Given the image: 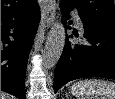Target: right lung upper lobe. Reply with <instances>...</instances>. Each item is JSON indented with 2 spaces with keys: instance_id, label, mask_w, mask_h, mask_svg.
I'll use <instances>...</instances> for the list:
<instances>
[{
  "instance_id": "right-lung-upper-lobe-1",
  "label": "right lung upper lobe",
  "mask_w": 115,
  "mask_h": 99,
  "mask_svg": "<svg viewBox=\"0 0 115 99\" xmlns=\"http://www.w3.org/2000/svg\"><path fill=\"white\" fill-rule=\"evenodd\" d=\"M32 0H1V14L22 9Z\"/></svg>"
}]
</instances>
